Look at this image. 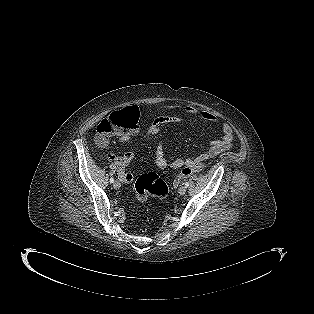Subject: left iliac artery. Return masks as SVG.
<instances>
[{"label": "left iliac artery", "mask_w": 314, "mask_h": 314, "mask_svg": "<svg viewBox=\"0 0 314 314\" xmlns=\"http://www.w3.org/2000/svg\"><path fill=\"white\" fill-rule=\"evenodd\" d=\"M189 185H190L189 182H186V183H185V187H188Z\"/></svg>", "instance_id": "obj_1"}]
</instances>
